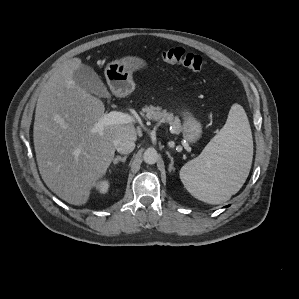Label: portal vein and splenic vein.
I'll use <instances>...</instances> for the list:
<instances>
[{"label":"portal vein and splenic vein","instance_id":"1","mask_svg":"<svg viewBox=\"0 0 299 299\" xmlns=\"http://www.w3.org/2000/svg\"><path fill=\"white\" fill-rule=\"evenodd\" d=\"M133 121V118L126 113L111 111L100 118V120L94 125L92 131L94 133H102L107 125L128 124Z\"/></svg>","mask_w":299,"mask_h":299}]
</instances>
